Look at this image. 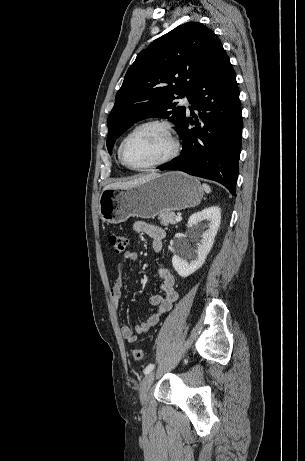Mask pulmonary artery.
<instances>
[{"label":"pulmonary artery","mask_w":305,"mask_h":461,"mask_svg":"<svg viewBox=\"0 0 305 461\" xmlns=\"http://www.w3.org/2000/svg\"><path fill=\"white\" fill-rule=\"evenodd\" d=\"M182 101H183V103H185L187 106H191V102H190V100H189L188 97H184Z\"/></svg>","instance_id":"obj_1"}]
</instances>
